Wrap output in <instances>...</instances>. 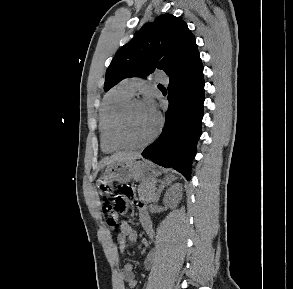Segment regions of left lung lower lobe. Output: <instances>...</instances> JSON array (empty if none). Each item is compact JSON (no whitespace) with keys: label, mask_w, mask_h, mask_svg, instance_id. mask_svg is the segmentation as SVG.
I'll list each match as a JSON object with an SVG mask.
<instances>
[{"label":"left lung lower lobe","mask_w":293,"mask_h":289,"mask_svg":"<svg viewBox=\"0 0 293 289\" xmlns=\"http://www.w3.org/2000/svg\"><path fill=\"white\" fill-rule=\"evenodd\" d=\"M169 80V107L164 128L157 141L144 149L142 156L174 168L189 180L203 118L204 76L199 54Z\"/></svg>","instance_id":"left-lung-lower-lobe-1"}]
</instances>
